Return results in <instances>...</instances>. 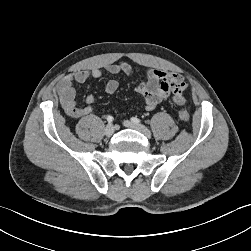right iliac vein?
<instances>
[{
    "label": "right iliac vein",
    "mask_w": 251,
    "mask_h": 251,
    "mask_svg": "<svg viewBox=\"0 0 251 251\" xmlns=\"http://www.w3.org/2000/svg\"><path fill=\"white\" fill-rule=\"evenodd\" d=\"M115 131V128L112 124H108L106 127H105V130H104V133L107 137H110L113 135Z\"/></svg>",
    "instance_id": "63e3f726"
}]
</instances>
